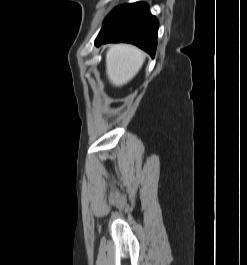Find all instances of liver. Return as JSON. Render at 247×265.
Here are the masks:
<instances>
[{"mask_svg": "<svg viewBox=\"0 0 247 265\" xmlns=\"http://www.w3.org/2000/svg\"><path fill=\"white\" fill-rule=\"evenodd\" d=\"M145 55L127 44L112 45L106 54V74L116 87L127 84L141 69Z\"/></svg>", "mask_w": 247, "mask_h": 265, "instance_id": "obj_1", "label": "liver"}]
</instances>
